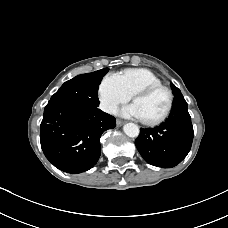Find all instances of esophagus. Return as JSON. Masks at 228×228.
<instances>
[{"instance_id": "esophagus-1", "label": "esophagus", "mask_w": 228, "mask_h": 228, "mask_svg": "<svg viewBox=\"0 0 228 228\" xmlns=\"http://www.w3.org/2000/svg\"><path fill=\"white\" fill-rule=\"evenodd\" d=\"M116 124H117L118 127H120V126H122L124 124V122L122 120L117 119L116 120Z\"/></svg>"}]
</instances>
